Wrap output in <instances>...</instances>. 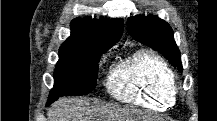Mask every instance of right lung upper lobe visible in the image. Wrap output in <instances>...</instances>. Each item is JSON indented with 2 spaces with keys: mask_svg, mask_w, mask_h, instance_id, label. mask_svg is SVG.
Instances as JSON below:
<instances>
[{
  "mask_svg": "<svg viewBox=\"0 0 217 121\" xmlns=\"http://www.w3.org/2000/svg\"><path fill=\"white\" fill-rule=\"evenodd\" d=\"M123 27L124 23L121 19L75 18L71 22V35L62 46L93 43L106 51L120 40Z\"/></svg>",
  "mask_w": 217,
  "mask_h": 121,
  "instance_id": "right-lung-upper-lobe-1",
  "label": "right lung upper lobe"
}]
</instances>
